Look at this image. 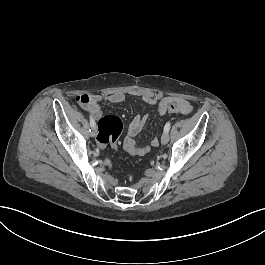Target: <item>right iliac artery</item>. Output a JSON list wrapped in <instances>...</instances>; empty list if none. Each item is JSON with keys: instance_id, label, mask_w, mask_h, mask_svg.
Instances as JSON below:
<instances>
[{"instance_id": "1", "label": "right iliac artery", "mask_w": 265, "mask_h": 265, "mask_svg": "<svg viewBox=\"0 0 265 265\" xmlns=\"http://www.w3.org/2000/svg\"><path fill=\"white\" fill-rule=\"evenodd\" d=\"M95 124H96V123H95L93 117L90 115V126H91V127H94Z\"/></svg>"}]
</instances>
